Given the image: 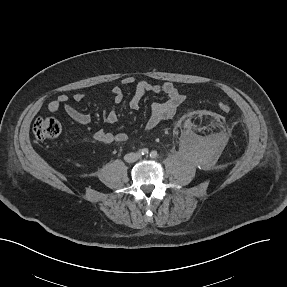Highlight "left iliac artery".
<instances>
[{
    "instance_id": "obj_1",
    "label": "left iliac artery",
    "mask_w": 287,
    "mask_h": 287,
    "mask_svg": "<svg viewBox=\"0 0 287 287\" xmlns=\"http://www.w3.org/2000/svg\"><path fill=\"white\" fill-rule=\"evenodd\" d=\"M157 156H158L157 151H155V150L151 151V153H150L151 158H156Z\"/></svg>"
}]
</instances>
